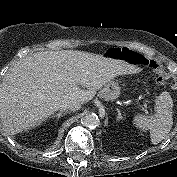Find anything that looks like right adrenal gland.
<instances>
[{"mask_svg": "<svg viewBox=\"0 0 177 177\" xmlns=\"http://www.w3.org/2000/svg\"><path fill=\"white\" fill-rule=\"evenodd\" d=\"M62 113H63V111H59L56 115H53L49 118H56V120H58L62 116ZM66 113H67V111H66ZM46 120L47 119H45L44 121H46Z\"/></svg>", "mask_w": 177, "mask_h": 177, "instance_id": "2a0ac1e0", "label": "right adrenal gland"}]
</instances>
